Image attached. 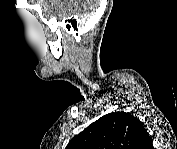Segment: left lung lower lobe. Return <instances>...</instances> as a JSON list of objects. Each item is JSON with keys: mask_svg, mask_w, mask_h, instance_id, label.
<instances>
[{"mask_svg": "<svg viewBox=\"0 0 177 149\" xmlns=\"http://www.w3.org/2000/svg\"><path fill=\"white\" fill-rule=\"evenodd\" d=\"M144 140H145L144 145L146 144V149L153 148V145H152V142H151V137L149 135H146Z\"/></svg>", "mask_w": 177, "mask_h": 149, "instance_id": "left-lung-lower-lobe-1", "label": "left lung lower lobe"}]
</instances>
